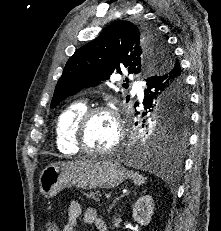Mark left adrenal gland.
Here are the masks:
<instances>
[{
    "instance_id": "left-adrenal-gland-1",
    "label": "left adrenal gland",
    "mask_w": 221,
    "mask_h": 231,
    "mask_svg": "<svg viewBox=\"0 0 221 231\" xmlns=\"http://www.w3.org/2000/svg\"><path fill=\"white\" fill-rule=\"evenodd\" d=\"M127 194H129V192H128ZM118 200H119V198H117L116 200H114V201L112 202V204L109 206L108 212H110V210L115 206V204H116V202H117Z\"/></svg>"
}]
</instances>
